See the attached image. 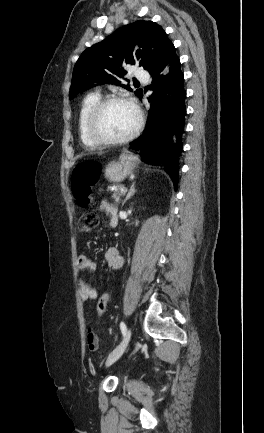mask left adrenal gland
I'll list each match as a JSON object with an SVG mask.
<instances>
[{
    "label": "left adrenal gland",
    "mask_w": 264,
    "mask_h": 433,
    "mask_svg": "<svg viewBox=\"0 0 264 433\" xmlns=\"http://www.w3.org/2000/svg\"><path fill=\"white\" fill-rule=\"evenodd\" d=\"M136 192H137V190L135 189V182H134V183H132V185H131V187H130V190H129L127 196H126V198H125L124 201L122 202V206H124V204L126 203V201H127L128 199H130V198H131V197H132Z\"/></svg>",
    "instance_id": "obj_1"
}]
</instances>
